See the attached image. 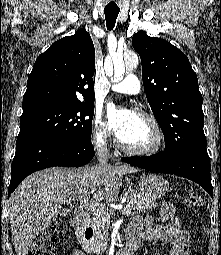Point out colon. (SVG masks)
Here are the masks:
<instances>
[{
    "label": "colon",
    "mask_w": 221,
    "mask_h": 255,
    "mask_svg": "<svg viewBox=\"0 0 221 255\" xmlns=\"http://www.w3.org/2000/svg\"><path fill=\"white\" fill-rule=\"evenodd\" d=\"M203 198L199 193H192L187 197V204L191 207L201 206ZM63 227L59 221H55L49 230L32 247L29 255H56L55 244L59 240Z\"/></svg>",
    "instance_id": "colon-1"
}]
</instances>
